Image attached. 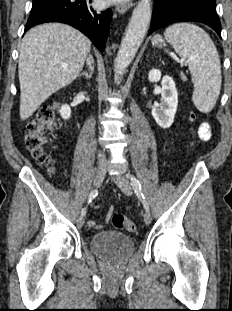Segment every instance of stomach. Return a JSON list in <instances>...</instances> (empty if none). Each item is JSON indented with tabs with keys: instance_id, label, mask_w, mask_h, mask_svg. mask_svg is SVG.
<instances>
[{
	"instance_id": "stomach-1",
	"label": "stomach",
	"mask_w": 232,
	"mask_h": 311,
	"mask_svg": "<svg viewBox=\"0 0 232 311\" xmlns=\"http://www.w3.org/2000/svg\"><path fill=\"white\" fill-rule=\"evenodd\" d=\"M152 45H153L154 47L161 48V47L164 45V40H163V38H162L160 35H155V36L152 38Z\"/></svg>"
}]
</instances>
